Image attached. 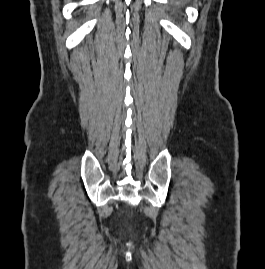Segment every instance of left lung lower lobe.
<instances>
[{
	"instance_id": "obj_1",
	"label": "left lung lower lobe",
	"mask_w": 265,
	"mask_h": 269,
	"mask_svg": "<svg viewBox=\"0 0 265 269\" xmlns=\"http://www.w3.org/2000/svg\"><path fill=\"white\" fill-rule=\"evenodd\" d=\"M175 1H177V2H181L182 0H175Z\"/></svg>"
}]
</instances>
